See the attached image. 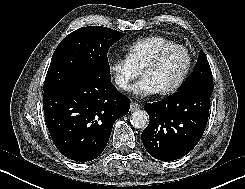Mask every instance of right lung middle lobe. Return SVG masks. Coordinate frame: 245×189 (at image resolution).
I'll use <instances>...</instances> for the list:
<instances>
[{
    "mask_svg": "<svg viewBox=\"0 0 245 189\" xmlns=\"http://www.w3.org/2000/svg\"><path fill=\"white\" fill-rule=\"evenodd\" d=\"M124 35L102 26L82 27L70 33L53 53L43 91L71 83L95 70L110 72L108 49Z\"/></svg>",
    "mask_w": 245,
    "mask_h": 189,
    "instance_id": "right-lung-middle-lobe-1",
    "label": "right lung middle lobe"
}]
</instances>
